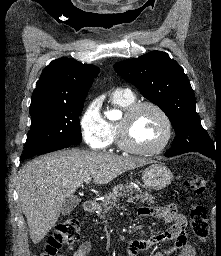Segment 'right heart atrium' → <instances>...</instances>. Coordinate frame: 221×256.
Wrapping results in <instances>:
<instances>
[{
  "label": "right heart atrium",
  "instance_id": "1",
  "mask_svg": "<svg viewBox=\"0 0 221 256\" xmlns=\"http://www.w3.org/2000/svg\"><path fill=\"white\" fill-rule=\"evenodd\" d=\"M79 126L85 143L94 150H104L112 143L108 122L96 101L90 102L82 111Z\"/></svg>",
  "mask_w": 221,
  "mask_h": 256
}]
</instances>
